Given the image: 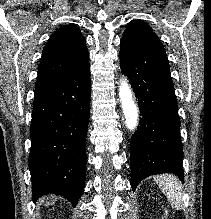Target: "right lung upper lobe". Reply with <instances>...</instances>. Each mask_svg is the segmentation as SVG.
Segmentation results:
<instances>
[{
    "instance_id": "obj_1",
    "label": "right lung upper lobe",
    "mask_w": 211,
    "mask_h": 219,
    "mask_svg": "<svg viewBox=\"0 0 211 219\" xmlns=\"http://www.w3.org/2000/svg\"><path fill=\"white\" fill-rule=\"evenodd\" d=\"M86 42L80 30L66 25L56 30L44 47L35 91L44 89L88 61Z\"/></svg>"
}]
</instances>
